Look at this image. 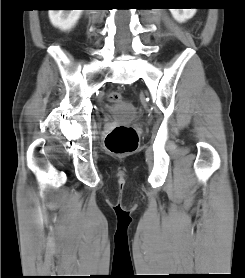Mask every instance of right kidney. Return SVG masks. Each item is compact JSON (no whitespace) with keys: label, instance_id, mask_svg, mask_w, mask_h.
Segmentation results:
<instances>
[{"label":"right kidney","instance_id":"right-kidney-1","mask_svg":"<svg viewBox=\"0 0 245 278\" xmlns=\"http://www.w3.org/2000/svg\"><path fill=\"white\" fill-rule=\"evenodd\" d=\"M82 10H49V18L53 26L61 30H69L80 18Z\"/></svg>","mask_w":245,"mask_h":278}]
</instances>
